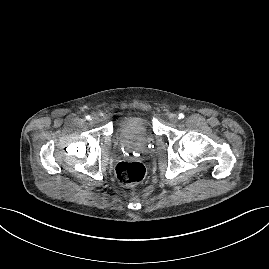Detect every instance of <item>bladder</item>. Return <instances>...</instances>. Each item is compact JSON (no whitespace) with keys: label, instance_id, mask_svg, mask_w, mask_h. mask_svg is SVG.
<instances>
[{"label":"bladder","instance_id":"obj_1","mask_svg":"<svg viewBox=\"0 0 269 269\" xmlns=\"http://www.w3.org/2000/svg\"><path fill=\"white\" fill-rule=\"evenodd\" d=\"M118 137L127 143H146L151 136L150 120L145 116L124 117L117 123Z\"/></svg>","mask_w":269,"mask_h":269}]
</instances>
